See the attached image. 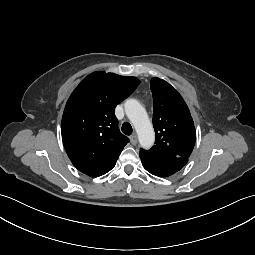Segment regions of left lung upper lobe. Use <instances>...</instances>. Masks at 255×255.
Listing matches in <instances>:
<instances>
[{
	"mask_svg": "<svg viewBox=\"0 0 255 255\" xmlns=\"http://www.w3.org/2000/svg\"><path fill=\"white\" fill-rule=\"evenodd\" d=\"M155 145L140 153L157 163L188 159L195 144L196 131L188 106L178 91L157 77L151 79Z\"/></svg>",
	"mask_w": 255,
	"mask_h": 255,
	"instance_id": "left-lung-upper-lobe-1",
	"label": "left lung upper lobe"
}]
</instances>
